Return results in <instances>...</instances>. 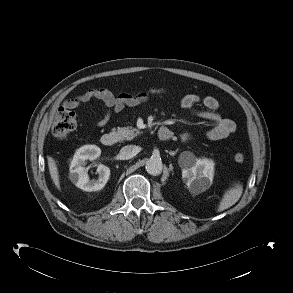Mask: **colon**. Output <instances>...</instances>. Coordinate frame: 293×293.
Wrapping results in <instances>:
<instances>
[{
	"label": "colon",
	"mask_w": 293,
	"mask_h": 293,
	"mask_svg": "<svg viewBox=\"0 0 293 293\" xmlns=\"http://www.w3.org/2000/svg\"><path fill=\"white\" fill-rule=\"evenodd\" d=\"M163 88L153 87L149 90L152 94H163ZM77 126V120L74 112L66 108H60L54 118L52 133L56 138L63 139L67 137ZM236 162L241 163L245 159L243 153H236L234 156Z\"/></svg>",
	"instance_id": "colon-1"
}]
</instances>
